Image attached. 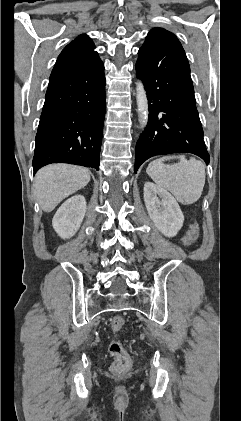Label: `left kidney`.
<instances>
[{
  "mask_svg": "<svg viewBox=\"0 0 241 421\" xmlns=\"http://www.w3.org/2000/svg\"><path fill=\"white\" fill-rule=\"evenodd\" d=\"M144 202L155 227L167 237H174L183 226L184 215L174 197L152 182L144 185Z\"/></svg>",
  "mask_w": 241,
  "mask_h": 421,
  "instance_id": "left-kidney-1",
  "label": "left kidney"
}]
</instances>
